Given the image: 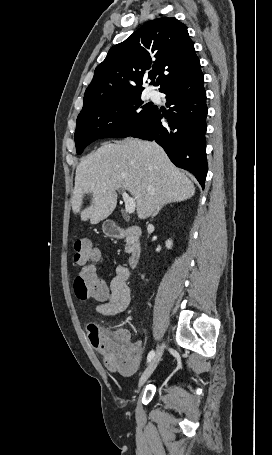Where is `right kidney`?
<instances>
[{
	"label": "right kidney",
	"instance_id": "obj_1",
	"mask_svg": "<svg viewBox=\"0 0 272 455\" xmlns=\"http://www.w3.org/2000/svg\"><path fill=\"white\" fill-rule=\"evenodd\" d=\"M172 244H173V243H172V240H167V241H166V247H167V249H171Z\"/></svg>",
	"mask_w": 272,
	"mask_h": 455
}]
</instances>
